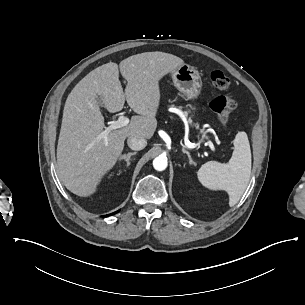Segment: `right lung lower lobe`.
I'll list each match as a JSON object with an SVG mask.
<instances>
[{
	"instance_id": "98d812e1",
	"label": "right lung lower lobe",
	"mask_w": 305,
	"mask_h": 305,
	"mask_svg": "<svg viewBox=\"0 0 305 305\" xmlns=\"http://www.w3.org/2000/svg\"><path fill=\"white\" fill-rule=\"evenodd\" d=\"M118 211H116V212H114V213H112V214H115V213H117ZM112 214H109V215H112ZM108 216V215H107Z\"/></svg>"
}]
</instances>
